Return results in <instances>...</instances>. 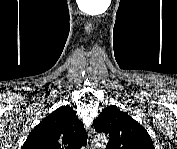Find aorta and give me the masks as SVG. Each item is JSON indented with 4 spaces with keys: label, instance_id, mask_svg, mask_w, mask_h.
Instances as JSON below:
<instances>
[{
    "label": "aorta",
    "instance_id": "1",
    "mask_svg": "<svg viewBox=\"0 0 177 149\" xmlns=\"http://www.w3.org/2000/svg\"><path fill=\"white\" fill-rule=\"evenodd\" d=\"M97 142H101L102 144H103V143H107V138H106V136H105V135H99V136L97 137Z\"/></svg>",
    "mask_w": 177,
    "mask_h": 149
}]
</instances>
